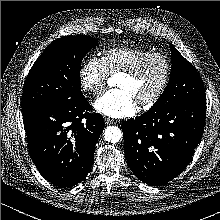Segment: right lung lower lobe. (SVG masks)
I'll list each match as a JSON object with an SVG mask.
<instances>
[{
	"mask_svg": "<svg viewBox=\"0 0 220 220\" xmlns=\"http://www.w3.org/2000/svg\"><path fill=\"white\" fill-rule=\"evenodd\" d=\"M91 109L85 97L72 104L22 108L30 156L41 175L58 187L74 186L91 171L104 129L102 115Z\"/></svg>",
	"mask_w": 220,
	"mask_h": 220,
	"instance_id": "obj_1",
	"label": "right lung lower lobe"
}]
</instances>
